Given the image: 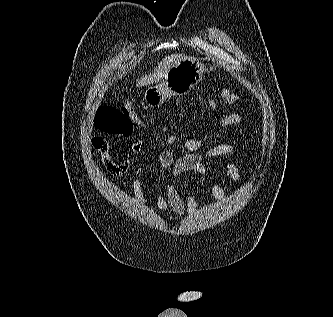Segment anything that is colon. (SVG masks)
Masks as SVG:
<instances>
[{"instance_id":"1","label":"colon","mask_w":333,"mask_h":317,"mask_svg":"<svg viewBox=\"0 0 333 317\" xmlns=\"http://www.w3.org/2000/svg\"><path fill=\"white\" fill-rule=\"evenodd\" d=\"M238 100L237 94L231 90H225L219 97V102L230 106ZM217 103H212L216 106ZM140 118L132 103L122 106H101L95 113L94 125L104 133L126 137L133 132L134 124H139Z\"/></svg>"}]
</instances>
